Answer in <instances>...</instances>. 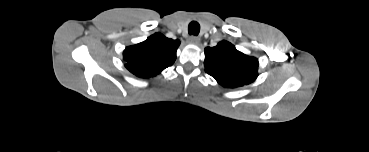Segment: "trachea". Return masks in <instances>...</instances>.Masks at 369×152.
<instances>
[{"label":"trachea","mask_w":369,"mask_h":152,"mask_svg":"<svg viewBox=\"0 0 369 152\" xmlns=\"http://www.w3.org/2000/svg\"><path fill=\"white\" fill-rule=\"evenodd\" d=\"M188 32L190 35L197 36L200 32V25L196 21H192L188 26Z\"/></svg>","instance_id":"obj_1"}]
</instances>
